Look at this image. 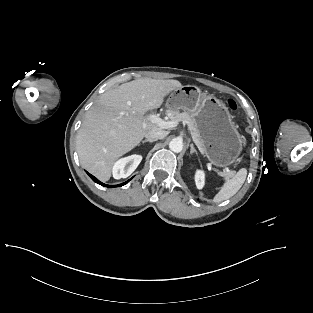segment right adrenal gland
<instances>
[{
    "label": "right adrenal gland",
    "instance_id": "right-adrenal-gland-1",
    "mask_svg": "<svg viewBox=\"0 0 313 313\" xmlns=\"http://www.w3.org/2000/svg\"><path fill=\"white\" fill-rule=\"evenodd\" d=\"M146 142L152 143L154 141L153 140H148V139L142 140V143H146Z\"/></svg>",
    "mask_w": 313,
    "mask_h": 313
}]
</instances>
